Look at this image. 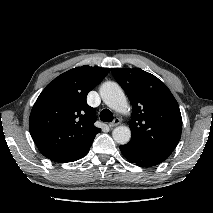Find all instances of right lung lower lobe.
I'll return each mask as SVG.
<instances>
[{
  "label": "right lung lower lobe",
  "mask_w": 213,
  "mask_h": 213,
  "mask_svg": "<svg viewBox=\"0 0 213 213\" xmlns=\"http://www.w3.org/2000/svg\"><path fill=\"white\" fill-rule=\"evenodd\" d=\"M91 144H92V142L90 144H88L87 146H85L83 149L78 150L73 153L56 154V155H52L48 158L52 161L63 162V163L76 161V160L84 157L88 153V151L91 147Z\"/></svg>",
  "instance_id": "1"
}]
</instances>
